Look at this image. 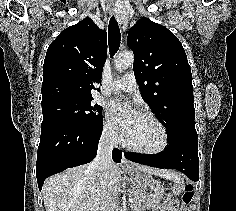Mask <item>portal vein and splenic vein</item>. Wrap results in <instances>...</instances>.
Segmentation results:
<instances>
[{
    "instance_id": "obj_1",
    "label": "portal vein and splenic vein",
    "mask_w": 236,
    "mask_h": 211,
    "mask_svg": "<svg viewBox=\"0 0 236 211\" xmlns=\"http://www.w3.org/2000/svg\"><path fill=\"white\" fill-rule=\"evenodd\" d=\"M133 201V199L132 198H129V202H132Z\"/></svg>"
}]
</instances>
